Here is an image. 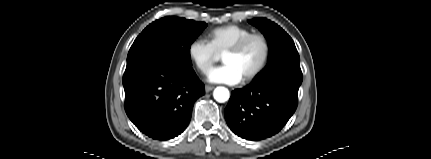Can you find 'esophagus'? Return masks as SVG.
I'll list each match as a JSON object with an SVG mask.
<instances>
[{
  "label": "esophagus",
  "mask_w": 431,
  "mask_h": 159,
  "mask_svg": "<svg viewBox=\"0 0 431 159\" xmlns=\"http://www.w3.org/2000/svg\"><path fill=\"white\" fill-rule=\"evenodd\" d=\"M214 89V86H210V85H206L205 86V91L206 92H210V91H212Z\"/></svg>",
  "instance_id": "esophagus-1"
}]
</instances>
